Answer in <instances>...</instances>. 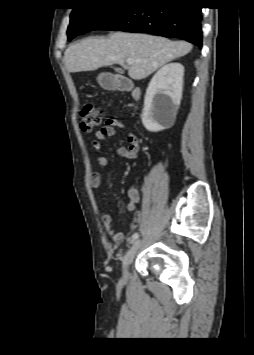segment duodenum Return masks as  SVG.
I'll return each instance as SVG.
<instances>
[{
	"label": "duodenum",
	"instance_id": "410a0bca",
	"mask_svg": "<svg viewBox=\"0 0 254 355\" xmlns=\"http://www.w3.org/2000/svg\"><path fill=\"white\" fill-rule=\"evenodd\" d=\"M105 86L108 88L117 89L119 91H126L131 88L130 84L125 79H112L111 81L106 83ZM139 95L140 94L138 90L133 91V97L135 99H138Z\"/></svg>",
	"mask_w": 254,
	"mask_h": 355
}]
</instances>
